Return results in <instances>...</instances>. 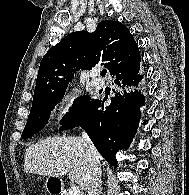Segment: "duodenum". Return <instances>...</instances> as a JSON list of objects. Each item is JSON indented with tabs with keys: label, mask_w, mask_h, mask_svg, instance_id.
I'll return each mask as SVG.
<instances>
[{
	"label": "duodenum",
	"mask_w": 189,
	"mask_h": 195,
	"mask_svg": "<svg viewBox=\"0 0 189 195\" xmlns=\"http://www.w3.org/2000/svg\"><path fill=\"white\" fill-rule=\"evenodd\" d=\"M51 193L53 195H61L62 193V188L59 185L58 181H52L51 186H50Z\"/></svg>",
	"instance_id": "410a0bca"
}]
</instances>
